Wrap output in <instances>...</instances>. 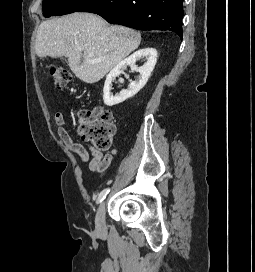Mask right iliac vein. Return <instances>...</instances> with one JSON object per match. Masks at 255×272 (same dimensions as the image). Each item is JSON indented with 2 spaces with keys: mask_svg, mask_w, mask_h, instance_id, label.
Segmentation results:
<instances>
[{
  "mask_svg": "<svg viewBox=\"0 0 255 272\" xmlns=\"http://www.w3.org/2000/svg\"><path fill=\"white\" fill-rule=\"evenodd\" d=\"M105 202L101 203L98 208L96 219H95V227L96 231L102 233L105 231Z\"/></svg>",
  "mask_w": 255,
  "mask_h": 272,
  "instance_id": "right-iliac-vein-1",
  "label": "right iliac vein"
}]
</instances>
